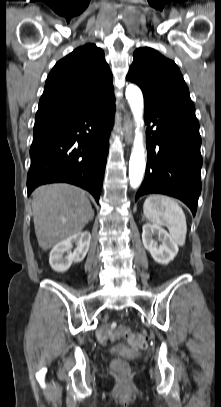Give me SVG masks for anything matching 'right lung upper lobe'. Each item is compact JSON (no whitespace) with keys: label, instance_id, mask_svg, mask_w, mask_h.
I'll list each match as a JSON object with an SVG mask.
<instances>
[{"label":"right lung upper lobe","instance_id":"cb5924a9","mask_svg":"<svg viewBox=\"0 0 221 407\" xmlns=\"http://www.w3.org/2000/svg\"><path fill=\"white\" fill-rule=\"evenodd\" d=\"M113 97L112 73L103 50L86 44L53 67L40 98L35 124L83 112Z\"/></svg>","mask_w":221,"mask_h":407}]
</instances>
